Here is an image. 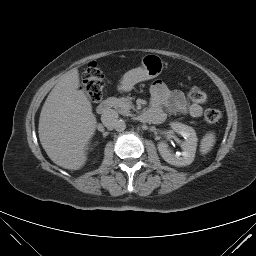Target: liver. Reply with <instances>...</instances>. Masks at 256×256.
<instances>
[{
    "instance_id": "6515ba94",
    "label": "liver",
    "mask_w": 256,
    "mask_h": 256,
    "mask_svg": "<svg viewBox=\"0 0 256 256\" xmlns=\"http://www.w3.org/2000/svg\"><path fill=\"white\" fill-rule=\"evenodd\" d=\"M79 86L76 68L65 73L49 93L38 127L48 157L70 170H78L86 163V150L97 123L91 102Z\"/></svg>"
}]
</instances>
